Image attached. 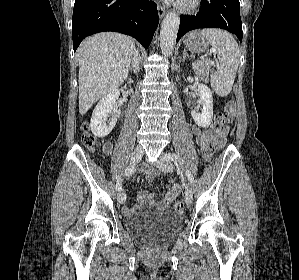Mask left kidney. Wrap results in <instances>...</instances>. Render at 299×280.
Masks as SVG:
<instances>
[{
    "label": "left kidney",
    "mask_w": 299,
    "mask_h": 280,
    "mask_svg": "<svg viewBox=\"0 0 299 280\" xmlns=\"http://www.w3.org/2000/svg\"><path fill=\"white\" fill-rule=\"evenodd\" d=\"M189 82H193L192 77H188ZM198 94L200 96V103L202 104V112L198 113L197 109L191 111V116L195 123L203 128L208 127L212 122L213 117V97L212 92L205 84H198Z\"/></svg>",
    "instance_id": "left-kidney-1"
}]
</instances>
